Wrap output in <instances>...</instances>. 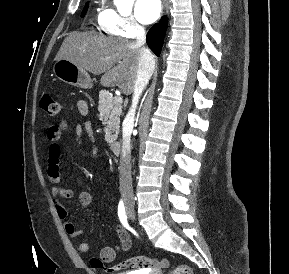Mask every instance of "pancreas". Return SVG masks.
Returning <instances> with one entry per match:
<instances>
[{"instance_id":"1","label":"pancreas","mask_w":289,"mask_h":274,"mask_svg":"<svg viewBox=\"0 0 289 274\" xmlns=\"http://www.w3.org/2000/svg\"><path fill=\"white\" fill-rule=\"evenodd\" d=\"M98 110L102 123L105 125V140L111 144L117 139L119 133L121 102H118L109 91L102 90L99 94Z\"/></svg>"}]
</instances>
